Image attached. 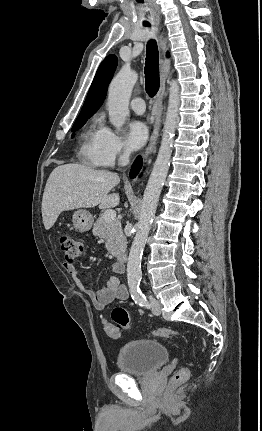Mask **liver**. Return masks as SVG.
<instances>
[{
    "instance_id": "obj_1",
    "label": "liver",
    "mask_w": 262,
    "mask_h": 431,
    "mask_svg": "<svg viewBox=\"0 0 262 431\" xmlns=\"http://www.w3.org/2000/svg\"><path fill=\"white\" fill-rule=\"evenodd\" d=\"M119 182L120 178L116 173L106 170H95L74 163L56 167L47 180L42 199L45 229L52 228L63 211L118 206L119 194L109 192Z\"/></svg>"
}]
</instances>
